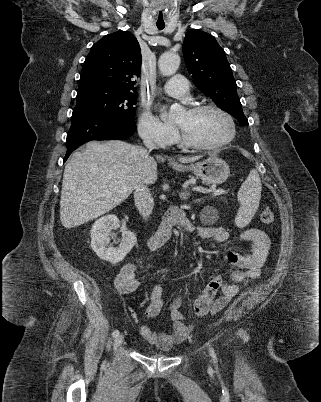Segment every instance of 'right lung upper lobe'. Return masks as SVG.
Here are the masks:
<instances>
[{
    "instance_id": "1",
    "label": "right lung upper lobe",
    "mask_w": 321,
    "mask_h": 402,
    "mask_svg": "<svg viewBox=\"0 0 321 402\" xmlns=\"http://www.w3.org/2000/svg\"><path fill=\"white\" fill-rule=\"evenodd\" d=\"M140 46L128 31L108 34L96 42L83 64L79 87L102 86L136 93L141 69Z\"/></svg>"
}]
</instances>
